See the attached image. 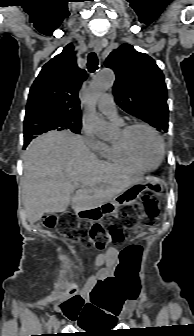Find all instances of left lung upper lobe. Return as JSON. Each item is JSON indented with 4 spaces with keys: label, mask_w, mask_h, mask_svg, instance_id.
Listing matches in <instances>:
<instances>
[{
    "label": "left lung upper lobe",
    "mask_w": 194,
    "mask_h": 336,
    "mask_svg": "<svg viewBox=\"0 0 194 336\" xmlns=\"http://www.w3.org/2000/svg\"><path fill=\"white\" fill-rule=\"evenodd\" d=\"M116 74L113 93L127 113L167 131L168 105L164 75L156 62L129 44L114 50L105 61Z\"/></svg>",
    "instance_id": "1"
}]
</instances>
